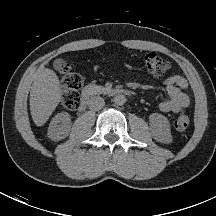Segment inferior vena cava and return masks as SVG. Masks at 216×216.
<instances>
[{"label":"inferior vena cava","mask_w":216,"mask_h":216,"mask_svg":"<svg viewBox=\"0 0 216 216\" xmlns=\"http://www.w3.org/2000/svg\"><path fill=\"white\" fill-rule=\"evenodd\" d=\"M105 105L104 99L100 96L91 97L88 101V106L92 110H100Z\"/></svg>","instance_id":"obj_1"}]
</instances>
